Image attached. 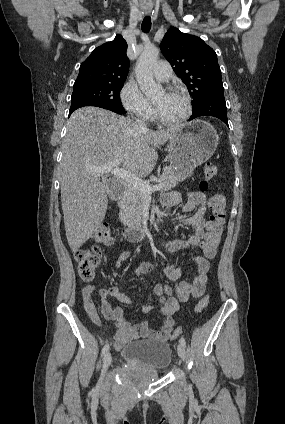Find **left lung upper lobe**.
<instances>
[{"label":"left lung upper lobe","instance_id":"obj_1","mask_svg":"<svg viewBox=\"0 0 285 424\" xmlns=\"http://www.w3.org/2000/svg\"><path fill=\"white\" fill-rule=\"evenodd\" d=\"M160 48L193 97L192 107L208 96L224 94L217 55L201 38L171 27Z\"/></svg>","mask_w":285,"mask_h":424}]
</instances>
